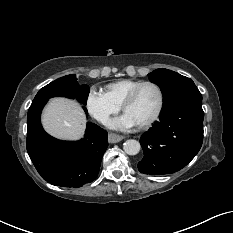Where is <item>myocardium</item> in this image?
Listing matches in <instances>:
<instances>
[{
  "label": "myocardium",
  "mask_w": 233,
  "mask_h": 233,
  "mask_svg": "<svg viewBox=\"0 0 233 233\" xmlns=\"http://www.w3.org/2000/svg\"><path fill=\"white\" fill-rule=\"evenodd\" d=\"M147 85H150V86H153L156 88V90L158 92L159 100H158L157 108H156L155 112L152 114V116L149 119H147L146 121L138 124L139 127H141V128H146V127H149L150 125H152L161 114V111H162L163 105H164V94H163L161 87L157 83L152 82V81L141 82L139 85H137L135 88H133L129 92V94L126 96V98L124 99V101L122 102V105H121L122 110L125 112L128 105H130L135 100L139 91L144 86H147Z\"/></svg>",
  "instance_id": "myocardium-1"
}]
</instances>
